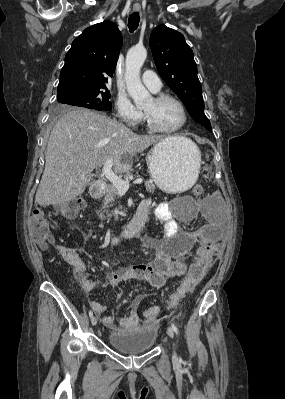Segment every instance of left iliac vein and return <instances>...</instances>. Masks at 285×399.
Returning <instances> with one entry per match:
<instances>
[{
  "label": "left iliac vein",
  "instance_id": "4c4485c4",
  "mask_svg": "<svg viewBox=\"0 0 285 399\" xmlns=\"http://www.w3.org/2000/svg\"><path fill=\"white\" fill-rule=\"evenodd\" d=\"M167 334H168V336H169L170 338H173V337H174V331H173V329H172L171 327H168V328H167ZM174 356H175V353H174Z\"/></svg>",
  "mask_w": 285,
  "mask_h": 399
}]
</instances>
